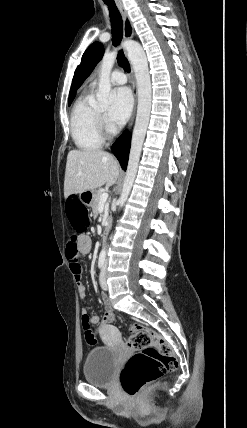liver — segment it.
<instances>
[{"label": "liver", "mask_w": 247, "mask_h": 428, "mask_svg": "<svg viewBox=\"0 0 247 428\" xmlns=\"http://www.w3.org/2000/svg\"><path fill=\"white\" fill-rule=\"evenodd\" d=\"M119 177L114 157L102 150H71L67 156L64 196L112 186Z\"/></svg>", "instance_id": "6515ba94"}]
</instances>
